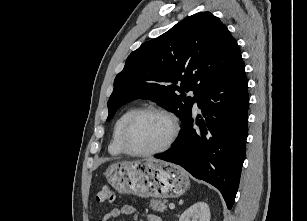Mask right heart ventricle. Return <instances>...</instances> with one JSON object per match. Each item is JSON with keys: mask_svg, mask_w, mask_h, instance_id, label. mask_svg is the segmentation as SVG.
Segmentation results:
<instances>
[{"mask_svg": "<svg viewBox=\"0 0 307 221\" xmlns=\"http://www.w3.org/2000/svg\"><path fill=\"white\" fill-rule=\"evenodd\" d=\"M137 110H139L137 107H131L127 110H125L116 120L113 131H112V137L111 141L108 147L109 153L112 155H121L124 153L120 146V134L122 131V128L126 121L129 119V117L134 114Z\"/></svg>", "mask_w": 307, "mask_h": 221, "instance_id": "right-heart-ventricle-1", "label": "right heart ventricle"}]
</instances>
